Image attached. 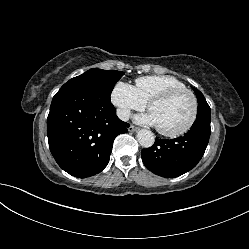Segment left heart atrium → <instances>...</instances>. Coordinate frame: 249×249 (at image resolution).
<instances>
[{
    "label": "left heart atrium",
    "mask_w": 249,
    "mask_h": 249,
    "mask_svg": "<svg viewBox=\"0 0 249 249\" xmlns=\"http://www.w3.org/2000/svg\"><path fill=\"white\" fill-rule=\"evenodd\" d=\"M137 120L140 122H143V123L157 126V121L151 113L148 115H143V116L137 117Z\"/></svg>",
    "instance_id": "left-heart-atrium-1"
}]
</instances>
